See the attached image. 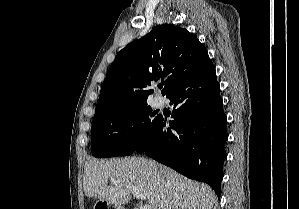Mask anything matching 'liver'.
<instances>
[{"mask_svg":"<svg viewBox=\"0 0 299 209\" xmlns=\"http://www.w3.org/2000/svg\"><path fill=\"white\" fill-rule=\"evenodd\" d=\"M109 179L118 183L108 186ZM83 188L87 197H98L115 207L130 201L131 188L144 196L151 209H160L161 203L165 209H212L217 202L207 184L185 178L169 167L141 157L87 161Z\"/></svg>","mask_w":299,"mask_h":209,"instance_id":"obj_1","label":"liver"}]
</instances>
